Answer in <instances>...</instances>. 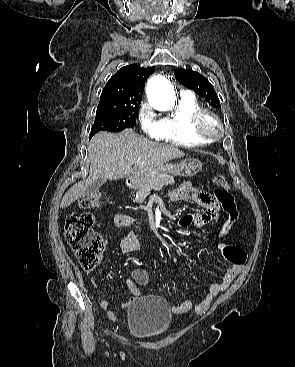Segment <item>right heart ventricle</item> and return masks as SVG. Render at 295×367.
<instances>
[{
    "label": "right heart ventricle",
    "mask_w": 295,
    "mask_h": 367,
    "mask_svg": "<svg viewBox=\"0 0 295 367\" xmlns=\"http://www.w3.org/2000/svg\"><path fill=\"white\" fill-rule=\"evenodd\" d=\"M202 109L194 97H181L175 111L160 119L161 131L157 139L182 147H200L207 144L192 131L194 115Z\"/></svg>",
    "instance_id": "right-heart-ventricle-1"
}]
</instances>
